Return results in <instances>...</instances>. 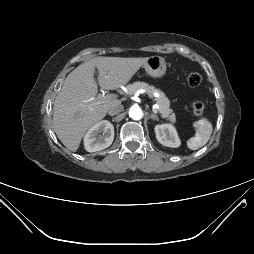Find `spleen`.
<instances>
[{
    "instance_id": "spleen-1",
    "label": "spleen",
    "mask_w": 254,
    "mask_h": 254,
    "mask_svg": "<svg viewBox=\"0 0 254 254\" xmlns=\"http://www.w3.org/2000/svg\"><path fill=\"white\" fill-rule=\"evenodd\" d=\"M196 133L187 141L191 150H198L203 147L211 137L213 127L207 118H201L195 123Z\"/></svg>"
}]
</instances>
